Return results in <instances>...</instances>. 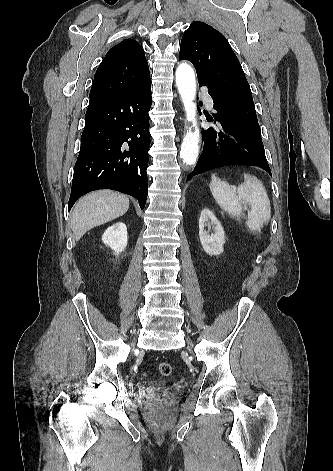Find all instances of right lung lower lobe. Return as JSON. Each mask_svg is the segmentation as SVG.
<instances>
[{"label":"right lung lower lobe","mask_w":333,"mask_h":471,"mask_svg":"<svg viewBox=\"0 0 333 471\" xmlns=\"http://www.w3.org/2000/svg\"><path fill=\"white\" fill-rule=\"evenodd\" d=\"M151 103L149 76L123 94L89 105L69 210L82 195L97 189L131 195L145 207Z\"/></svg>","instance_id":"right-lung-lower-lobe-1"}]
</instances>
